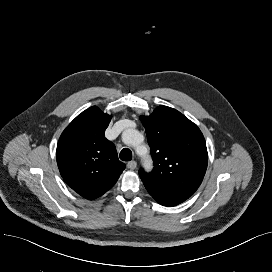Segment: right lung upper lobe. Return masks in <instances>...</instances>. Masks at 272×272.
<instances>
[{
    "label": "right lung upper lobe",
    "mask_w": 272,
    "mask_h": 272,
    "mask_svg": "<svg viewBox=\"0 0 272 272\" xmlns=\"http://www.w3.org/2000/svg\"><path fill=\"white\" fill-rule=\"evenodd\" d=\"M110 120V115L92 106L67 126L58 141L60 173L67 185L86 199L106 193L125 169L114 144L104 136Z\"/></svg>",
    "instance_id": "obj_1"
}]
</instances>
